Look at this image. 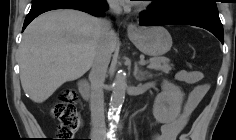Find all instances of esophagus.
Wrapping results in <instances>:
<instances>
[{"label":"esophagus","instance_id":"34e87169","mask_svg":"<svg viewBox=\"0 0 236 140\" xmlns=\"http://www.w3.org/2000/svg\"><path fill=\"white\" fill-rule=\"evenodd\" d=\"M138 30L137 26L135 24H130L127 28V31L129 34H134Z\"/></svg>","mask_w":236,"mask_h":140}]
</instances>
